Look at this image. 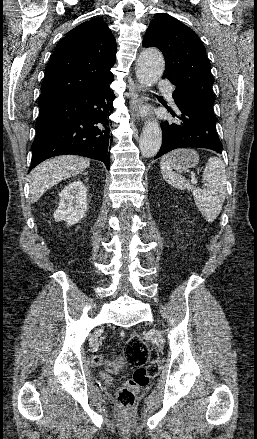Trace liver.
<instances>
[{
  "label": "liver",
  "mask_w": 257,
  "mask_h": 439,
  "mask_svg": "<svg viewBox=\"0 0 257 439\" xmlns=\"http://www.w3.org/2000/svg\"><path fill=\"white\" fill-rule=\"evenodd\" d=\"M89 164V159L75 155H61L41 163L30 174L31 202H37L48 189L84 171Z\"/></svg>",
  "instance_id": "liver-1"
}]
</instances>
